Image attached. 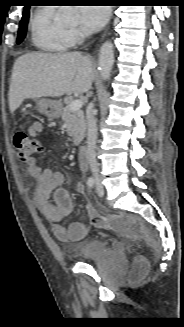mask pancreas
Segmentation results:
<instances>
[{
    "label": "pancreas",
    "instance_id": "1",
    "mask_svg": "<svg viewBox=\"0 0 184 327\" xmlns=\"http://www.w3.org/2000/svg\"><path fill=\"white\" fill-rule=\"evenodd\" d=\"M72 99L68 98L67 106L62 110L61 117L68 135L73 138L74 145H79L85 137L86 123L81 110L73 111L69 108Z\"/></svg>",
    "mask_w": 184,
    "mask_h": 327
}]
</instances>
